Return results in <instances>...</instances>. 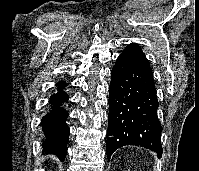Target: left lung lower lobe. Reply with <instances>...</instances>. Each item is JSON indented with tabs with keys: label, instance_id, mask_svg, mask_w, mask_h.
<instances>
[{
	"label": "left lung lower lobe",
	"instance_id": "1",
	"mask_svg": "<svg viewBox=\"0 0 199 171\" xmlns=\"http://www.w3.org/2000/svg\"><path fill=\"white\" fill-rule=\"evenodd\" d=\"M106 153L126 145L140 146L162 155V126L149 60L136 43L129 44L111 72Z\"/></svg>",
	"mask_w": 199,
	"mask_h": 171
}]
</instances>
